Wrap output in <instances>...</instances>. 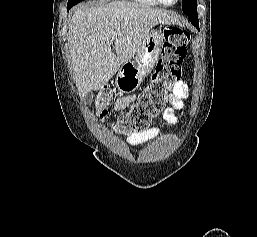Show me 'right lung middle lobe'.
Listing matches in <instances>:
<instances>
[{"label": "right lung middle lobe", "instance_id": "dd1d6c3e", "mask_svg": "<svg viewBox=\"0 0 257 237\" xmlns=\"http://www.w3.org/2000/svg\"><path fill=\"white\" fill-rule=\"evenodd\" d=\"M83 0H69L67 7H73L74 5H76L77 3L81 2Z\"/></svg>", "mask_w": 257, "mask_h": 237}]
</instances>
